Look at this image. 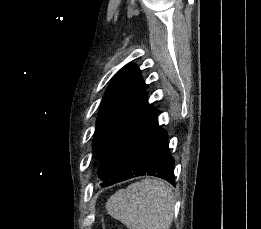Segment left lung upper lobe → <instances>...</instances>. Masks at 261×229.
Masks as SVG:
<instances>
[{
    "label": "left lung upper lobe",
    "mask_w": 261,
    "mask_h": 229,
    "mask_svg": "<svg viewBox=\"0 0 261 229\" xmlns=\"http://www.w3.org/2000/svg\"><path fill=\"white\" fill-rule=\"evenodd\" d=\"M145 83L135 65L122 68L111 81L99 108L93 140L98 159L149 105L143 91Z\"/></svg>",
    "instance_id": "left-lung-upper-lobe-1"
}]
</instances>
